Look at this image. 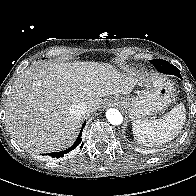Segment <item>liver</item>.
<instances>
[{
	"instance_id": "6515ba94",
	"label": "liver",
	"mask_w": 196,
	"mask_h": 196,
	"mask_svg": "<svg viewBox=\"0 0 196 196\" xmlns=\"http://www.w3.org/2000/svg\"><path fill=\"white\" fill-rule=\"evenodd\" d=\"M133 70L100 62H50L27 68L7 97L5 124L11 137L26 151L43 153L69 147L80 118L69 107L84 102L92 114L103 97L127 95L140 81Z\"/></svg>"
}]
</instances>
